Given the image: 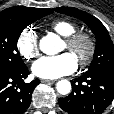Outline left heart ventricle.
I'll return each mask as SVG.
<instances>
[{"mask_svg": "<svg viewBox=\"0 0 114 114\" xmlns=\"http://www.w3.org/2000/svg\"><path fill=\"white\" fill-rule=\"evenodd\" d=\"M63 48H64V49H67V47H66L65 44H64V47H63ZM83 50H84V49L82 48L81 51H83ZM71 54L75 57V59H77V55H76L75 53H72V52H71Z\"/></svg>", "mask_w": 114, "mask_h": 114, "instance_id": "b2bd125f", "label": "left heart ventricle"}]
</instances>
